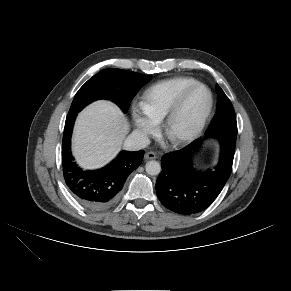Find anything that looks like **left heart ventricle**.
Here are the masks:
<instances>
[{
	"mask_svg": "<svg viewBox=\"0 0 291 291\" xmlns=\"http://www.w3.org/2000/svg\"><path fill=\"white\" fill-rule=\"evenodd\" d=\"M209 103V95L205 89L199 88L192 92L171 126L173 136L189 133L199 122Z\"/></svg>",
	"mask_w": 291,
	"mask_h": 291,
	"instance_id": "obj_1",
	"label": "left heart ventricle"
}]
</instances>
